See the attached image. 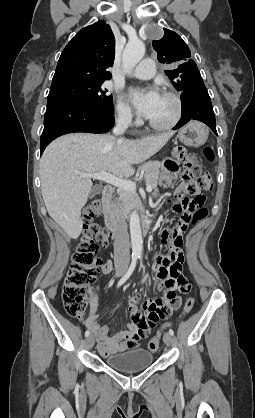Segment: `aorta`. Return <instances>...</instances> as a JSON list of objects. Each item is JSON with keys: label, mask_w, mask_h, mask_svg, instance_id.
I'll list each match as a JSON object with an SVG mask.
<instances>
[{"label": "aorta", "mask_w": 255, "mask_h": 418, "mask_svg": "<svg viewBox=\"0 0 255 418\" xmlns=\"http://www.w3.org/2000/svg\"><path fill=\"white\" fill-rule=\"evenodd\" d=\"M145 46L141 41H130L123 51V69L130 73L136 64L143 58ZM130 234L132 253L134 256H140L142 253L143 240L140 227V218L137 212L130 215Z\"/></svg>", "instance_id": "obj_1"}]
</instances>
